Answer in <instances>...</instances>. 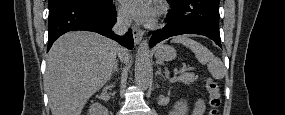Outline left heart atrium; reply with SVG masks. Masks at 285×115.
<instances>
[{
    "mask_svg": "<svg viewBox=\"0 0 285 115\" xmlns=\"http://www.w3.org/2000/svg\"><path fill=\"white\" fill-rule=\"evenodd\" d=\"M149 0H122L124 11L142 22H150L154 16V10Z\"/></svg>",
    "mask_w": 285,
    "mask_h": 115,
    "instance_id": "1",
    "label": "left heart atrium"
}]
</instances>
